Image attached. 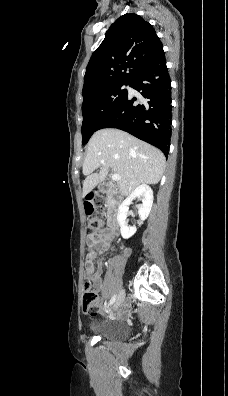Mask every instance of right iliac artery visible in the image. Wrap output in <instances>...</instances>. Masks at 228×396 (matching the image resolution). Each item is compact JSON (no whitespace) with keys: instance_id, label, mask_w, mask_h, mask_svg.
I'll return each instance as SVG.
<instances>
[{"instance_id":"obj_1","label":"right iliac artery","mask_w":228,"mask_h":396,"mask_svg":"<svg viewBox=\"0 0 228 396\" xmlns=\"http://www.w3.org/2000/svg\"><path fill=\"white\" fill-rule=\"evenodd\" d=\"M115 300H116V295H114V296L110 299L109 305H112V304L115 302ZM109 305H108V306H109Z\"/></svg>"}]
</instances>
